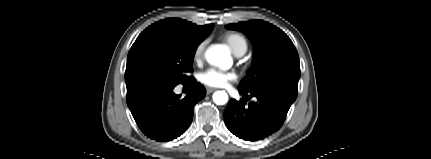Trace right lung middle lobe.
<instances>
[{
  "label": "right lung middle lobe",
  "instance_id": "obj_1",
  "mask_svg": "<svg viewBox=\"0 0 431 159\" xmlns=\"http://www.w3.org/2000/svg\"><path fill=\"white\" fill-rule=\"evenodd\" d=\"M200 40H190L163 29L146 28L132 45L125 71L127 87L150 79L190 80L188 72Z\"/></svg>",
  "mask_w": 431,
  "mask_h": 159
}]
</instances>
